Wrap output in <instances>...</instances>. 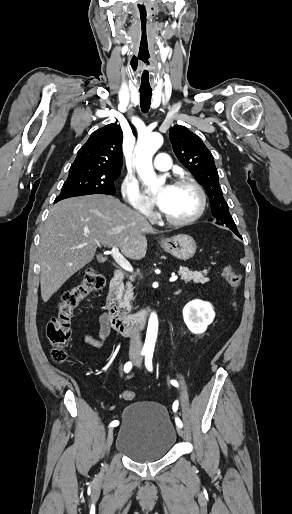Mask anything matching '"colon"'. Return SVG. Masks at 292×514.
<instances>
[{
  "mask_svg": "<svg viewBox=\"0 0 292 514\" xmlns=\"http://www.w3.org/2000/svg\"><path fill=\"white\" fill-rule=\"evenodd\" d=\"M222 274L228 280L233 300L235 301L238 288L241 282L240 273L228 265L222 267ZM84 278L66 289L57 305L55 314L46 325L47 339L52 347V358L55 362H62L67 356V349L71 340V320L76 309L83 300L92 293L100 291L105 284L104 276L95 270L93 265L85 267ZM126 402H134L135 394L127 391L123 395Z\"/></svg>",
  "mask_w": 292,
  "mask_h": 514,
  "instance_id": "5ec220e1",
  "label": "colon"
}]
</instances>
